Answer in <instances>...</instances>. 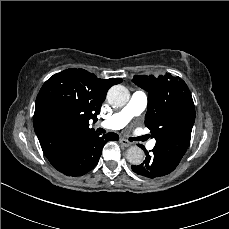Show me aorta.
Masks as SVG:
<instances>
[{
    "mask_svg": "<svg viewBox=\"0 0 229 229\" xmlns=\"http://www.w3.org/2000/svg\"><path fill=\"white\" fill-rule=\"evenodd\" d=\"M129 99V90L123 85H114L107 93L108 103L113 107H122ZM126 157L132 165H140L144 161V152L140 147L132 146L128 148Z\"/></svg>",
    "mask_w": 229,
    "mask_h": 229,
    "instance_id": "762f6f07",
    "label": "aorta"
}]
</instances>
